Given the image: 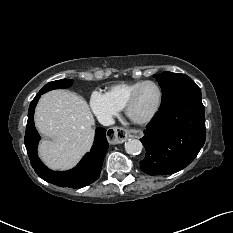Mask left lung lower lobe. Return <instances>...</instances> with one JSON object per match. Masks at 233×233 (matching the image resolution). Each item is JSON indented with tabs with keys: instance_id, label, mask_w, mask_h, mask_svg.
Returning a JSON list of instances; mask_svg holds the SVG:
<instances>
[{
	"instance_id": "left-lung-lower-lobe-1",
	"label": "left lung lower lobe",
	"mask_w": 233,
	"mask_h": 233,
	"mask_svg": "<svg viewBox=\"0 0 233 233\" xmlns=\"http://www.w3.org/2000/svg\"><path fill=\"white\" fill-rule=\"evenodd\" d=\"M140 139L146 149L140 169L149 175H167L188 166L206 138L201 94L183 96L161 106Z\"/></svg>"
}]
</instances>
